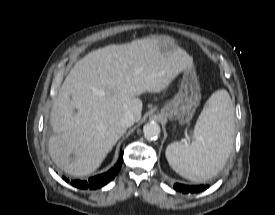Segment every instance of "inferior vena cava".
<instances>
[{
    "mask_svg": "<svg viewBox=\"0 0 275 215\" xmlns=\"http://www.w3.org/2000/svg\"><path fill=\"white\" fill-rule=\"evenodd\" d=\"M135 119L132 112L127 111L119 121V124L123 127H130L134 124Z\"/></svg>",
    "mask_w": 275,
    "mask_h": 215,
    "instance_id": "inferior-vena-cava-1",
    "label": "inferior vena cava"
}]
</instances>
